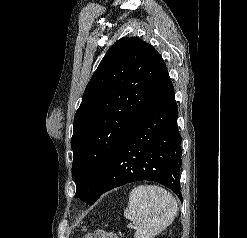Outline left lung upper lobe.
<instances>
[{
	"label": "left lung upper lobe",
	"instance_id": "1",
	"mask_svg": "<svg viewBox=\"0 0 247 238\" xmlns=\"http://www.w3.org/2000/svg\"><path fill=\"white\" fill-rule=\"evenodd\" d=\"M165 71L159 53L137 37L116 41L100 62L75 114L71 140L76 197L86 204L99 198L114 156Z\"/></svg>",
	"mask_w": 247,
	"mask_h": 238
}]
</instances>
